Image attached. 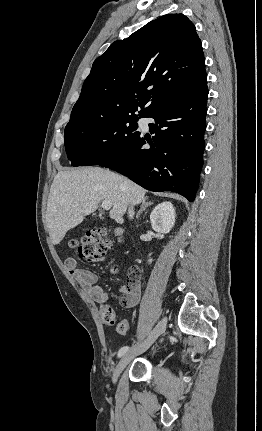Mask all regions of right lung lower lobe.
<instances>
[{"label":"right lung lower lobe","instance_id":"1","mask_svg":"<svg viewBox=\"0 0 262 431\" xmlns=\"http://www.w3.org/2000/svg\"><path fill=\"white\" fill-rule=\"evenodd\" d=\"M207 85L195 96L162 107L147 117L152 138L139 133L98 165L115 170L151 191H173L194 201L203 164ZM149 144L150 148H144Z\"/></svg>","mask_w":262,"mask_h":431}]
</instances>
